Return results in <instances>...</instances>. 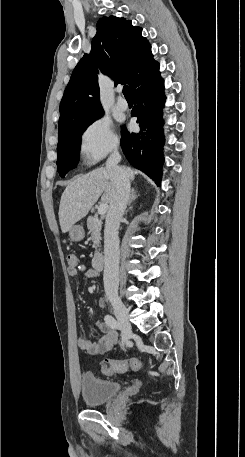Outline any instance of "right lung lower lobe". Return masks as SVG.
Listing matches in <instances>:
<instances>
[{
	"instance_id": "98d812e1",
	"label": "right lung lower lobe",
	"mask_w": 245,
	"mask_h": 457,
	"mask_svg": "<svg viewBox=\"0 0 245 457\" xmlns=\"http://www.w3.org/2000/svg\"><path fill=\"white\" fill-rule=\"evenodd\" d=\"M163 79L158 69L139 81L130 91L134 101L132 117H137L140 131L129 133L122 128L121 147L130 164L146 173L158 185L162 176L163 121L161 108L165 103Z\"/></svg>"
}]
</instances>
